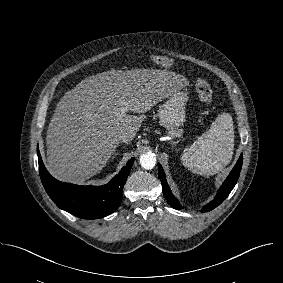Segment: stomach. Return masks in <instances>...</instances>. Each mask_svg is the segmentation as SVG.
I'll return each mask as SVG.
<instances>
[{"mask_svg": "<svg viewBox=\"0 0 283 283\" xmlns=\"http://www.w3.org/2000/svg\"><path fill=\"white\" fill-rule=\"evenodd\" d=\"M188 94L177 90L167 97L165 103L159 109V123L167 131L171 139L180 138L183 134V126L186 120V103Z\"/></svg>", "mask_w": 283, "mask_h": 283, "instance_id": "0dacf381", "label": "stomach"}]
</instances>
